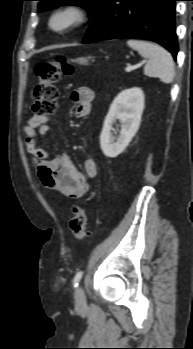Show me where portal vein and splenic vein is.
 I'll list each match as a JSON object with an SVG mask.
<instances>
[{
	"instance_id": "1",
	"label": "portal vein and splenic vein",
	"mask_w": 193,
	"mask_h": 349,
	"mask_svg": "<svg viewBox=\"0 0 193 349\" xmlns=\"http://www.w3.org/2000/svg\"><path fill=\"white\" fill-rule=\"evenodd\" d=\"M140 65H142V63H140V64H138V65H135V66L128 65V66L125 68V71H126V72H131L133 69L139 67Z\"/></svg>"
}]
</instances>
